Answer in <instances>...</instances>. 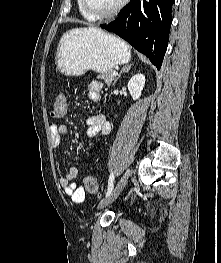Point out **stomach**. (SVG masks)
I'll return each instance as SVG.
<instances>
[{
	"label": "stomach",
	"mask_w": 221,
	"mask_h": 263,
	"mask_svg": "<svg viewBox=\"0 0 221 263\" xmlns=\"http://www.w3.org/2000/svg\"><path fill=\"white\" fill-rule=\"evenodd\" d=\"M129 47L119 38L102 30L74 29L60 40L56 65L66 76H81L88 70L98 73L112 71L117 65L128 63Z\"/></svg>",
	"instance_id": "1"
}]
</instances>
